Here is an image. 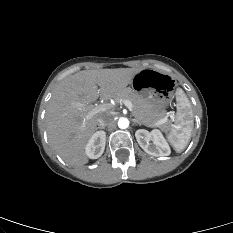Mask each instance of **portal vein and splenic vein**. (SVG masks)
<instances>
[{
  "label": "portal vein and splenic vein",
  "instance_id": "portal-vein-and-splenic-vein-1",
  "mask_svg": "<svg viewBox=\"0 0 233 233\" xmlns=\"http://www.w3.org/2000/svg\"><path fill=\"white\" fill-rule=\"evenodd\" d=\"M122 103L130 110L132 111L133 110V105L130 101L128 100H122ZM75 106L79 109H87L88 110V114L86 116L85 119H89L91 118L92 116H94L95 114L97 113H100V112H104V111H107L109 110L112 105L111 104H108V103H104V104H101V105H98V106H85V104H82V103H76ZM167 121V117L163 118L162 120L158 121L155 125H160L164 122Z\"/></svg>",
  "mask_w": 233,
  "mask_h": 233
}]
</instances>
